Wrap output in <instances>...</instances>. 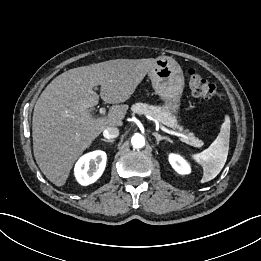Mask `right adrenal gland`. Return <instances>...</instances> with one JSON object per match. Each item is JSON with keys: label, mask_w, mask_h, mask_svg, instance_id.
Wrapping results in <instances>:
<instances>
[{"label": "right adrenal gland", "mask_w": 261, "mask_h": 261, "mask_svg": "<svg viewBox=\"0 0 261 261\" xmlns=\"http://www.w3.org/2000/svg\"><path fill=\"white\" fill-rule=\"evenodd\" d=\"M104 142L113 143L114 140L101 139Z\"/></svg>", "instance_id": "right-adrenal-gland-1"}]
</instances>
